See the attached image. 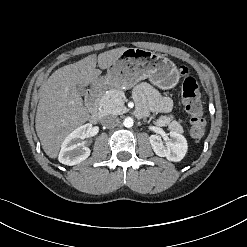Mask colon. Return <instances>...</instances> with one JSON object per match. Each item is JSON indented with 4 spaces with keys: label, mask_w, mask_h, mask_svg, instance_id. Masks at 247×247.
<instances>
[{
    "label": "colon",
    "mask_w": 247,
    "mask_h": 247,
    "mask_svg": "<svg viewBox=\"0 0 247 247\" xmlns=\"http://www.w3.org/2000/svg\"><path fill=\"white\" fill-rule=\"evenodd\" d=\"M179 73L183 76L182 97L186 110L191 116V136L200 140L205 132L206 122L203 118V106L198 84L189 74L185 66L179 67Z\"/></svg>",
    "instance_id": "1"
}]
</instances>
